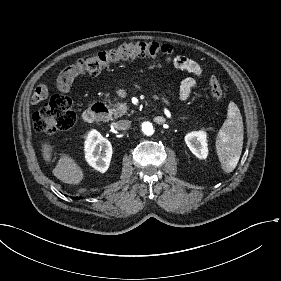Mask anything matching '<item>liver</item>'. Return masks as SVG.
Masks as SVG:
<instances>
[{"label":"liver","mask_w":281,"mask_h":281,"mask_svg":"<svg viewBox=\"0 0 281 281\" xmlns=\"http://www.w3.org/2000/svg\"><path fill=\"white\" fill-rule=\"evenodd\" d=\"M43 161L47 165L53 162L52 138H45L39 141ZM52 174L61 182L68 185H81L85 178L84 169L77 161L68 154H62L52 169Z\"/></svg>","instance_id":"liver-1"}]
</instances>
